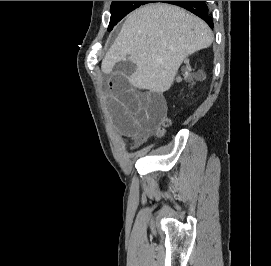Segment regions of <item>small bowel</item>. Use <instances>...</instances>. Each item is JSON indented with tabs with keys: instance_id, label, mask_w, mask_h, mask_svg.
<instances>
[{
	"instance_id": "1",
	"label": "small bowel",
	"mask_w": 271,
	"mask_h": 266,
	"mask_svg": "<svg viewBox=\"0 0 271 266\" xmlns=\"http://www.w3.org/2000/svg\"><path fill=\"white\" fill-rule=\"evenodd\" d=\"M109 71L106 105L121 132L135 145L145 141L153 128L166 114V102L162 94L137 89L133 85L135 68L123 61Z\"/></svg>"
}]
</instances>
